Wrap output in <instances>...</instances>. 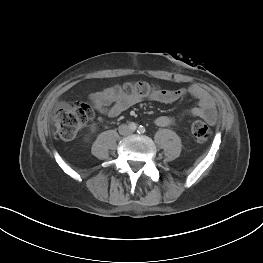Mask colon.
Returning <instances> with one entry per match:
<instances>
[{"label":"colon","mask_w":263,"mask_h":263,"mask_svg":"<svg viewBox=\"0 0 263 263\" xmlns=\"http://www.w3.org/2000/svg\"><path fill=\"white\" fill-rule=\"evenodd\" d=\"M113 91L142 98L151 95L157 89L146 81H134L116 87ZM92 118L93 110L86 103H72L61 106L55 110L53 116L55 135L63 140H71ZM191 132L200 142L207 141L211 135L208 125L201 120L192 123Z\"/></svg>","instance_id":"1"}]
</instances>
